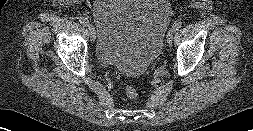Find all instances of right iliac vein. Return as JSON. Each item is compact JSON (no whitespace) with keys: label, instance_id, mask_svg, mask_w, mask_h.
I'll return each instance as SVG.
<instances>
[{"label":"right iliac vein","instance_id":"1","mask_svg":"<svg viewBox=\"0 0 253 131\" xmlns=\"http://www.w3.org/2000/svg\"><path fill=\"white\" fill-rule=\"evenodd\" d=\"M87 28H88V31H89L91 40L94 42V41H95V38H96L94 26H93L92 24H88Z\"/></svg>","mask_w":253,"mask_h":131}]
</instances>
